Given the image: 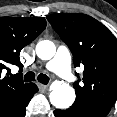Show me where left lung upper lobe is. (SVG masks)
<instances>
[{"instance_id": "5c2ea615", "label": "left lung upper lobe", "mask_w": 117, "mask_h": 117, "mask_svg": "<svg viewBox=\"0 0 117 117\" xmlns=\"http://www.w3.org/2000/svg\"><path fill=\"white\" fill-rule=\"evenodd\" d=\"M47 19L71 50L75 67H84L82 83L81 79L73 83L75 101L111 108L117 100L115 36L85 14H52Z\"/></svg>"}]
</instances>
